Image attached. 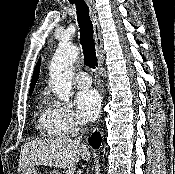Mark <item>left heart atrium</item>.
Listing matches in <instances>:
<instances>
[{
    "label": "left heart atrium",
    "mask_w": 175,
    "mask_h": 174,
    "mask_svg": "<svg viewBox=\"0 0 175 174\" xmlns=\"http://www.w3.org/2000/svg\"><path fill=\"white\" fill-rule=\"evenodd\" d=\"M76 103L80 116L86 121L94 120L100 111L101 99L97 91L86 88L76 95Z\"/></svg>",
    "instance_id": "obj_1"
}]
</instances>
